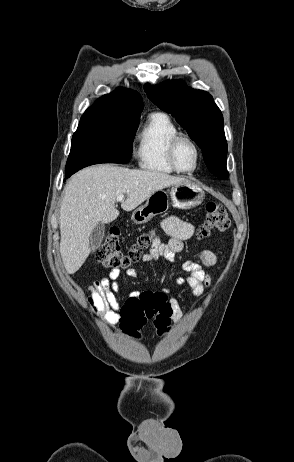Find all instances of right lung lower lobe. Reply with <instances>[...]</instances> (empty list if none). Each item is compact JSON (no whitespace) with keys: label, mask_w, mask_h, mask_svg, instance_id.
<instances>
[{"label":"right lung lower lobe","mask_w":294,"mask_h":462,"mask_svg":"<svg viewBox=\"0 0 294 462\" xmlns=\"http://www.w3.org/2000/svg\"><path fill=\"white\" fill-rule=\"evenodd\" d=\"M72 174H65V178H69Z\"/></svg>","instance_id":"right-lung-lower-lobe-1"}]
</instances>
